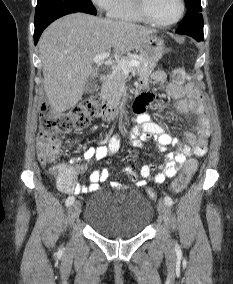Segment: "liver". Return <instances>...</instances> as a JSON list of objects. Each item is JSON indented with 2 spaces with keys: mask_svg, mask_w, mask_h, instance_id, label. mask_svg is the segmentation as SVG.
<instances>
[{
  "mask_svg": "<svg viewBox=\"0 0 233 284\" xmlns=\"http://www.w3.org/2000/svg\"><path fill=\"white\" fill-rule=\"evenodd\" d=\"M156 30L125 21L74 13L53 22L38 47L46 96L57 115L82 98L85 81L94 72L96 55L113 49L124 55L138 49Z\"/></svg>",
  "mask_w": 233,
  "mask_h": 284,
  "instance_id": "obj_1",
  "label": "liver"
}]
</instances>
